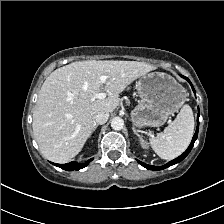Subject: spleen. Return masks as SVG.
I'll list each match as a JSON object with an SVG mask.
<instances>
[{
  "mask_svg": "<svg viewBox=\"0 0 224 224\" xmlns=\"http://www.w3.org/2000/svg\"><path fill=\"white\" fill-rule=\"evenodd\" d=\"M193 133V112L189 105H184L175 120L163 132L150 139V145L160 158L172 160L187 149Z\"/></svg>",
  "mask_w": 224,
  "mask_h": 224,
  "instance_id": "1",
  "label": "spleen"
}]
</instances>
